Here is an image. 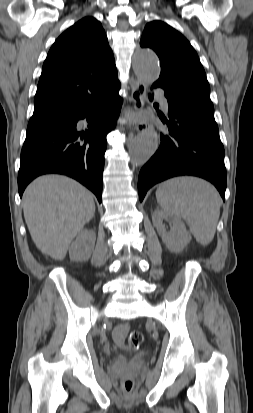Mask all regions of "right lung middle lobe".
I'll list each match as a JSON object with an SVG mask.
<instances>
[{"mask_svg": "<svg viewBox=\"0 0 253 413\" xmlns=\"http://www.w3.org/2000/svg\"><path fill=\"white\" fill-rule=\"evenodd\" d=\"M63 114L64 112L31 117L27 127V134L37 132L43 128H46L54 124L58 119H60L63 116Z\"/></svg>", "mask_w": 253, "mask_h": 413, "instance_id": "obj_1", "label": "right lung middle lobe"}]
</instances>
